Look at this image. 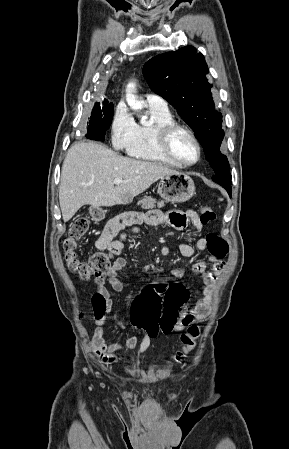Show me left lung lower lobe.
<instances>
[{
	"mask_svg": "<svg viewBox=\"0 0 289 449\" xmlns=\"http://www.w3.org/2000/svg\"><path fill=\"white\" fill-rule=\"evenodd\" d=\"M222 187H224V188L227 190L228 194H229L230 197H231V192H232L231 185H224V186H222Z\"/></svg>",
	"mask_w": 289,
	"mask_h": 449,
	"instance_id": "0a47b994",
	"label": "left lung lower lobe"
}]
</instances>
